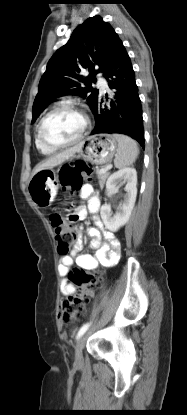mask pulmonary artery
Segmentation results:
<instances>
[{"mask_svg":"<svg viewBox=\"0 0 187 415\" xmlns=\"http://www.w3.org/2000/svg\"><path fill=\"white\" fill-rule=\"evenodd\" d=\"M98 83H99L101 89H106L108 87L107 82L105 81L104 78L101 77V75H99V77H98Z\"/></svg>","mask_w":187,"mask_h":415,"instance_id":"e3ab8cb5","label":"pulmonary artery"}]
</instances>
